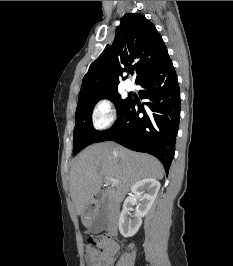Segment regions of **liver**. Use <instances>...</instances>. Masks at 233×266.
<instances>
[{"mask_svg": "<svg viewBox=\"0 0 233 266\" xmlns=\"http://www.w3.org/2000/svg\"><path fill=\"white\" fill-rule=\"evenodd\" d=\"M164 169L156 158L133 152L112 142L93 144L84 149L74 160L70 170V195L77 215L85 226L94 216L85 215L91 199L99 193L107 177L118 184L106 189L110 201L120 203L130 187L145 178L161 180Z\"/></svg>", "mask_w": 233, "mask_h": 266, "instance_id": "liver-1", "label": "liver"}]
</instances>
